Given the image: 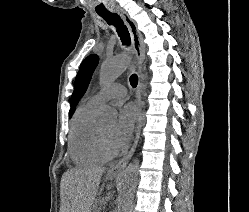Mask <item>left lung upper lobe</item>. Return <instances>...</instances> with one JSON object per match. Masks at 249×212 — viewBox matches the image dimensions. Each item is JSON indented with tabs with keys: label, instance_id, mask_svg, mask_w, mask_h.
<instances>
[{
	"label": "left lung upper lobe",
	"instance_id": "obj_1",
	"mask_svg": "<svg viewBox=\"0 0 249 212\" xmlns=\"http://www.w3.org/2000/svg\"><path fill=\"white\" fill-rule=\"evenodd\" d=\"M99 57L92 54L85 58L82 62L80 69L77 73L74 85V91L70 100V106L72 107L69 111V117L72 116L75 111V106L79 102L80 98L84 95L88 84L91 80V76L98 64Z\"/></svg>",
	"mask_w": 249,
	"mask_h": 212
}]
</instances>
